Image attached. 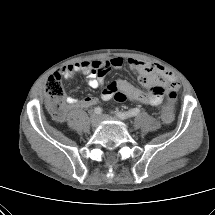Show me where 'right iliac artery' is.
Segmentation results:
<instances>
[{
    "mask_svg": "<svg viewBox=\"0 0 215 215\" xmlns=\"http://www.w3.org/2000/svg\"><path fill=\"white\" fill-rule=\"evenodd\" d=\"M94 112H95L97 115H100V114H102V109H101L100 107H96V108L94 109Z\"/></svg>",
    "mask_w": 215,
    "mask_h": 215,
    "instance_id": "right-iliac-artery-1",
    "label": "right iliac artery"
}]
</instances>
